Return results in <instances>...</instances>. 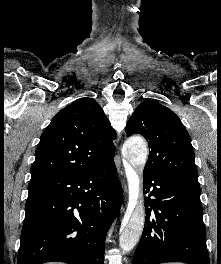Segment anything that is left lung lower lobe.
I'll list each match as a JSON object with an SVG mask.
<instances>
[{
    "instance_id": "1",
    "label": "left lung lower lobe",
    "mask_w": 221,
    "mask_h": 264,
    "mask_svg": "<svg viewBox=\"0 0 221 264\" xmlns=\"http://www.w3.org/2000/svg\"><path fill=\"white\" fill-rule=\"evenodd\" d=\"M144 190L146 220L132 264H209L200 187L144 172Z\"/></svg>"
}]
</instances>
